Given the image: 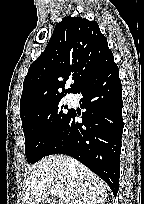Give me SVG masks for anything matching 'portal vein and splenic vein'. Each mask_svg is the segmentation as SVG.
I'll list each match as a JSON object with an SVG mask.
<instances>
[{"mask_svg": "<svg viewBox=\"0 0 144 204\" xmlns=\"http://www.w3.org/2000/svg\"><path fill=\"white\" fill-rule=\"evenodd\" d=\"M61 193L62 192L57 188H52L51 189V195H53V196H61Z\"/></svg>", "mask_w": 144, "mask_h": 204, "instance_id": "obj_1", "label": "portal vein and splenic vein"}]
</instances>
